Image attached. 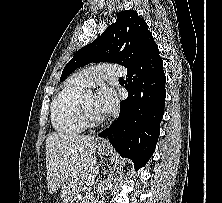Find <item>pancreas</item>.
<instances>
[{"mask_svg":"<svg viewBox=\"0 0 222 203\" xmlns=\"http://www.w3.org/2000/svg\"><path fill=\"white\" fill-rule=\"evenodd\" d=\"M93 172H89L87 173L84 177H82L79 181H78V190L79 192L82 191L86 185H88V182H89V179H92L93 178Z\"/></svg>","mask_w":222,"mask_h":203,"instance_id":"obj_1","label":"pancreas"}]
</instances>
